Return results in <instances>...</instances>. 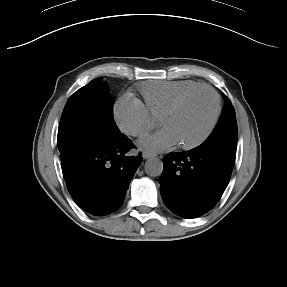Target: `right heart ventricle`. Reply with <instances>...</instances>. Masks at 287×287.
Instances as JSON below:
<instances>
[{"label": "right heart ventricle", "instance_id": "e07e8e85", "mask_svg": "<svg viewBox=\"0 0 287 287\" xmlns=\"http://www.w3.org/2000/svg\"><path fill=\"white\" fill-rule=\"evenodd\" d=\"M198 85L191 80L154 81L144 84L141 93L150 114L160 119L182 94Z\"/></svg>", "mask_w": 287, "mask_h": 287}]
</instances>
